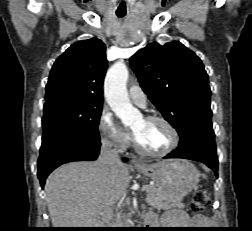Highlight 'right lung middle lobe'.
<instances>
[{"mask_svg":"<svg viewBox=\"0 0 252 231\" xmlns=\"http://www.w3.org/2000/svg\"><path fill=\"white\" fill-rule=\"evenodd\" d=\"M45 100L42 143L64 135L100 140L98 124L102 102L82 100L68 95Z\"/></svg>","mask_w":252,"mask_h":231,"instance_id":"dd1d6c3e","label":"right lung middle lobe"}]
</instances>
